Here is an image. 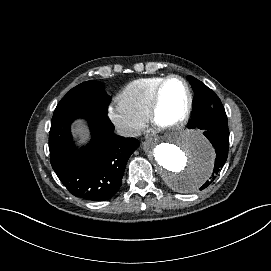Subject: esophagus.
Returning a JSON list of instances; mask_svg holds the SVG:
<instances>
[{"label":"esophagus","mask_w":271,"mask_h":271,"mask_svg":"<svg viewBox=\"0 0 271 271\" xmlns=\"http://www.w3.org/2000/svg\"><path fill=\"white\" fill-rule=\"evenodd\" d=\"M157 139H158V136L153 133H149L145 136V140L148 142L155 143L157 141Z\"/></svg>","instance_id":"1"}]
</instances>
